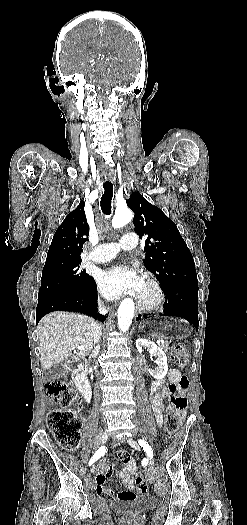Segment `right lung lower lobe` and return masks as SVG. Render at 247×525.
Segmentation results:
<instances>
[{"mask_svg": "<svg viewBox=\"0 0 247 525\" xmlns=\"http://www.w3.org/2000/svg\"><path fill=\"white\" fill-rule=\"evenodd\" d=\"M56 310L84 313L103 321L104 317L97 314V292L94 279L83 290L53 293L38 298L36 324L45 314Z\"/></svg>", "mask_w": 247, "mask_h": 525, "instance_id": "1", "label": "right lung lower lobe"}]
</instances>
